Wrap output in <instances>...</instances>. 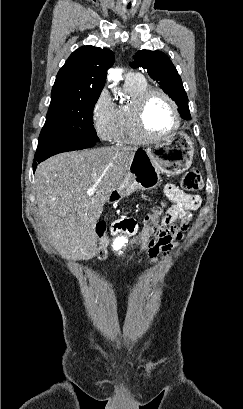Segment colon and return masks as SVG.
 <instances>
[{"label":"colon","instance_id":"colon-1","mask_svg":"<svg viewBox=\"0 0 243 409\" xmlns=\"http://www.w3.org/2000/svg\"><path fill=\"white\" fill-rule=\"evenodd\" d=\"M181 184L186 191L198 192L203 189L204 180L199 170L192 169L184 174ZM162 213V207L158 206L145 215L143 219V230L132 241L137 250L144 248L150 237H162L167 233V229L160 224ZM104 231V226L98 224L96 227V233L100 239V245L97 250L99 258H105L109 253V243L108 240L104 238Z\"/></svg>","mask_w":243,"mask_h":409}]
</instances>
